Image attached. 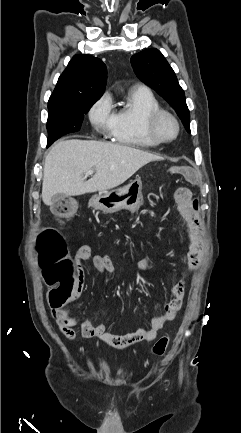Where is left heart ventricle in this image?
Segmentation results:
<instances>
[{
	"label": "left heart ventricle",
	"mask_w": 241,
	"mask_h": 433,
	"mask_svg": "<svg viewBox=\"0 0 241 433\" xmlns=\"http://www.w3.org/2000/svg\"><path fill=\"white\" fill-rule=\"evenodd\" d=\"M159 133L163 138H171L174 136L175 134V125L173 124V122L168 119V118H164L161 120V122L159 123V127H158Z\"/></svg>",
	"instance_id": "1"
}]
</instances>
